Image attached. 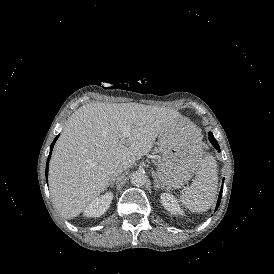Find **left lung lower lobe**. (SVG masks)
<instances>
[{
  "label": "left lung lower lobe",
  "mask_w": 274,
  "mask_h": 274,
  "mask_svg": "<svg viewBox=\"0 0 274 274\" xmlns=\"http://www.w3.org/2000/svg\"><path fill=\"white\" fill-rule=\"evenodd\" d=\"M209 140H210V142L212 143V145H213L216 149H218V151H220V149H219V144L217 143V141L215 140V138H214V136H213V134H212L211 132L209 133ZM222 190H223V188H221V191H220V194H219V199H218V203H217L216 210H217V208H218V206H219V204H220V200H221V196H222Z\"/></svg>",
  "instance_id": "1"
}]
</instances>
